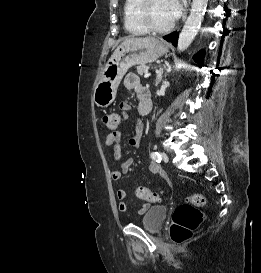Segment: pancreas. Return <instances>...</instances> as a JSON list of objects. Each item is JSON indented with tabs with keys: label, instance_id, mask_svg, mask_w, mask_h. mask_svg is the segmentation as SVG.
<instances>
[{
	"label": "pancreas",
	"instance_id": "pancreas-1",
	"mask_svg": "<svg viewBox=\"0 0 261 273\" xmlns=\"http://www.w3.org/2000/svg\"><path fill=\"white\" fill-rule=\"evenodd\" d=\"M148 69H149V66H147V65H140V66L137 67V73L139 75H143L145 72L148 71Z\"/></svg>",
	"mask_w": 261,
	"mask_h": 273
}]
</instances>
